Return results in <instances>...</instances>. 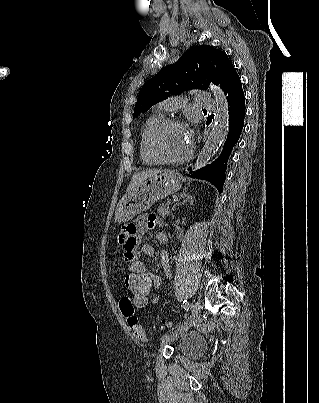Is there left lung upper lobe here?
Segmentation results:
<instances>
[{
  "label": "left lung upper lobe",
  "mask_w": 319,
  "mask_h": 403,
  "mask_svg": "<svg viewBox=\"0 0 319 403\" xmlns=\"http://www.w3.org/2000/svg\"><path fill=\"white\" fill-rule=\"evenodd\" d=\"M231 65L226 53L212 46L189 49L175 64L164 67L141 88L133 118L171 94L207 89L211 82L220 85Z\"/></svg>",
  "instance_id": "left-lung-upper-lobe-1"
}]
</instances>
